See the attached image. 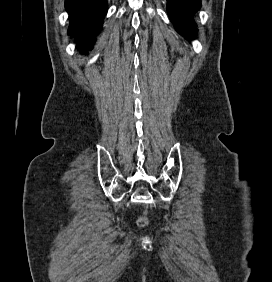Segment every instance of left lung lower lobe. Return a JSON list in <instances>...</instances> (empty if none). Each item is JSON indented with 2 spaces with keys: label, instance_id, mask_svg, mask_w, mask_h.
<instances>
[{
  "label": "left lung lower lobe",
  "instance_id": "left-lung-lower-lobe-1",
  "mask_svg": "<svg viewBox=\"0 0 272 282\" xmlns=\"http://www.w3.org/2000/svg\"><path fill=\"white\" fill-rule=\"evenodd\" d=\"M200 6L201 0H167L168 15L181 35L194 38L197 29L192 16Z\"/></svg>",
  "mask_w": 272,
  "mask_h": 282
}]
</instances>
